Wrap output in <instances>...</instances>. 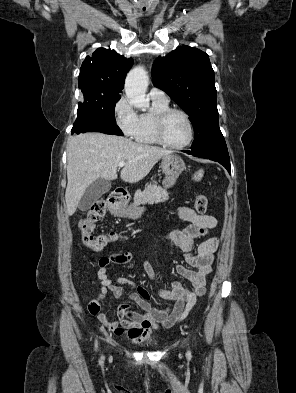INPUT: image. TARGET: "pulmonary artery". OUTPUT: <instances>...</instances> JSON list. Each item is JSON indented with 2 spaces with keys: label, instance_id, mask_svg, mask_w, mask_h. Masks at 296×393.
Wrapping results in <instances>:
<instances>
[{
  "label": "pulmonary artery",
  "instance_id": "pulmonary-artery-1",
  "mask_svg": "<svg viewBox=\"0 0 296 393\" xmlns=\"http://www.w3.org/2000/svg\"><path fill=\"white\" fill-rule=\"evenodd\" d=\"M149 96L152 100H155V101H159L162 103L169 102L167 94L164 91H162L161 89H158L156 87H153L150 89Z\"/></svg>",
  "mask_w": 296,
  "mask_h": 393
}]
</instances>
